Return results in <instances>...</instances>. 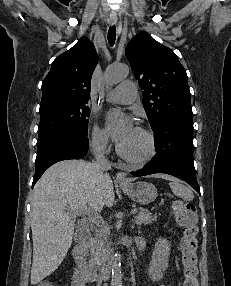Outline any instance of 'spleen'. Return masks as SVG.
I'll return each instance as SVG.
<instances>
[{
    "instance_id": "spleen-1",
    "label": "spleen",
    "mask_w": 231,
    "mask_h": 286,
    "mask_svg": "<svg viewBox=\"0 0 231 286\" xmlns=\"http://www.w3.org/2000/svg\"><path fill=\"white\" fill-rule=\"evenodd\" d=\"M170 183L169 186L172 190V192L177 196V197H181L182 199H184L185 201H191L194 198V194L192 192V190L181 184L179 180L177 179H169Z\"/></svg>"
}]
</instances>
